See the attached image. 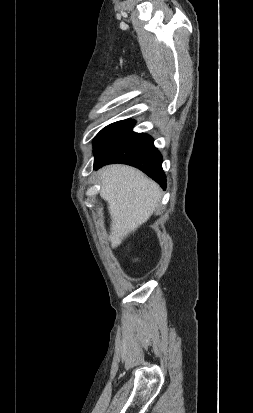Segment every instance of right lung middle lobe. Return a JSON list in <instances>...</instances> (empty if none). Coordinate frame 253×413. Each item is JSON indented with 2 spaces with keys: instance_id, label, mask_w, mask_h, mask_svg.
I'll use <instances>...</instances> for the list:
<instances>
[{
  "instance_id": "obj_1",
  "label": "right lung middle lobe",
  "mask_w": 253,
  "mask_h": 413,
  "mask_svg": "<svg viewBox=\"0 0 253 413\" xmlns=\"http://www.w3.org/2000/svg\"><path fill=\"white\" fill-rule=\"evenodd\" d=\"M134 120L127 119L115 122L102 129L94 138L95 161L103 158L135 132L132 128Z\"/></svg>"
}]
</instances>
